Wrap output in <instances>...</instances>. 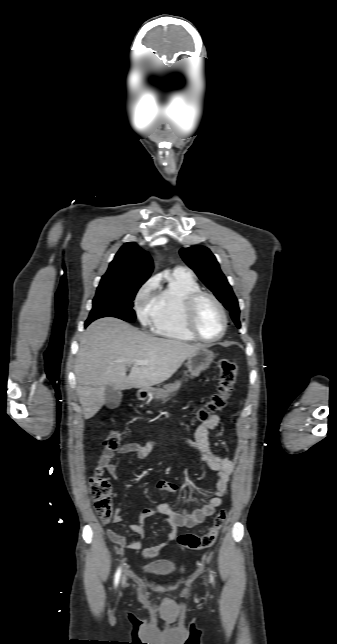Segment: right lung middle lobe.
Listing matches in <instances>:
<instances>
[{
	"instance_id": "dd1d6c3e",
	"label": "right lung middle lobe",
	"mask_w": 337,
	"mask_h": 644,
	"mask_svg": "<svg viewBox=\"0 0 337 644\" xmlns=\"http://www.w3.org/2000/svg\"><path fill=\"white\" fill-rule=\"evenodd\" d=\"M143 283L134 285L99 286L93 299V308L85 326L102 317H116L127 322L136 318L133 300Z\"/></svg>"
}]
</instances>
